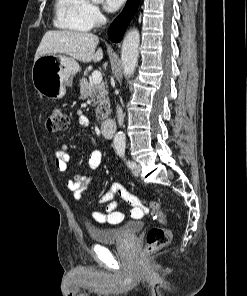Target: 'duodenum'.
<instances>
[{"label": "duodenum", "mask_w": 247, "mask_h": 296, "mask_svg": "<svg viewBox=\"0 0 247 296\" xmlns=\"http://www.w3.org/2000/svg\"><path fill=\"white\" fill-rule=\"evenodd\" d=\"M100 128H101L102 134L106 138H111L113 137L115 132V122L111 118L104 119L100 123Z\"/></svg>", "instance_id": "obj_1"}]
</instances>
